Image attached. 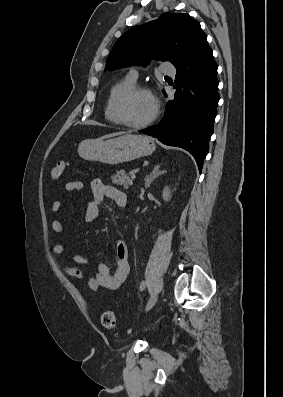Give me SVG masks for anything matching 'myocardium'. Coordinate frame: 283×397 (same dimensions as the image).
Listing matches in <instances>:
<instances>
[{
	"label": "myocardium",
	"mask_w": 283,
	"mask_h": 397,
	"mask_svg": "<svg viewBox=\"0 0 283 397\" xmlns=\"http://www.w3.org/2000/svg\"><path fill=\"white\" fill-rule=\"evenodd\" d=\"M140 93L147 94L153 99L154 112L147 120L140 122V123H133V122H130L125 116V106H126L127 102L133 96L140 94ZM115 111H116V115H117V118H118L120 124H122L126 127H129V128L140 129V128H144V127L150 125L157 119V117L159 115V102H158L156 96L154 95V93L149 88L144 87V86H136L135 85L119 96V98L116 101Z\"/></svg>",
	"instance_id": "f54148a6"
}]
</instances>
